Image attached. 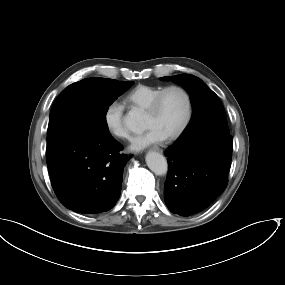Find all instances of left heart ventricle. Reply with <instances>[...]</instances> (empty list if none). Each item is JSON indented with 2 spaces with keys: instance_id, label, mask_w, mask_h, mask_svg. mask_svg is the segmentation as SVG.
Wrapping results in <instances>:
<instances>
[{
  "instance_id": "obj_1",
  "label": "left heart ventricle",
  "mask_w": 285,
  "mask_h": 285,
  "mask_svg": "<svg viewBox=\"0 0 285 285\" xmlns=\"http://www.w3.org/2000/svg\"><path fill=\"white\" fill-rule=\"evenodd\" d=\"M186 112L184 95L178 90L168 91L155 113H145L146 128H154L165 137L174 133L181 125Z\"/></svg>"
}]
</instances>
